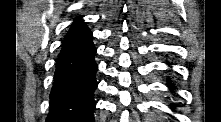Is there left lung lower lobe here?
Here are the masks:
<instances>
[{
    "mask_svg": "<svg viewBox=\"0 0 221 122\" xmlns=\"http://www.w3.org/2000/svg\"><path fill=\"white\" fill-rule=\"evenodd\" d=\"M168 87L173 90L174 89V86L170 83V80H168Z\"/></svg>",
    "mask_w": 221,
    "mask_h": 122,
    "instance_id": "0a47b994",
    "label": "left lung lower lobe"
}]
</instances>
